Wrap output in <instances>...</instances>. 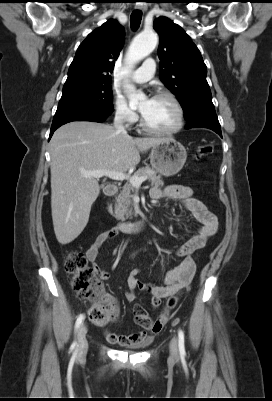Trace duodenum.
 <instances>
[{"label": "duodenum", "instance_id": "410a0bca", "mask_svg": "<svg viewBox=\"0 0 272 401\" xmlns=\"http://www.w3.org/2000/svg\"><path fill=\"white\" fill-rule=\"evenodd\" d=\"M118 192V187L115 184H109L105 188V194L108 197L114 196ZM146 226L144 220L135 222H119L118 229L124 233H137L142 231Z\"/></svg>", "mask_w": 272, "mask_h": 401}]
</instances>
